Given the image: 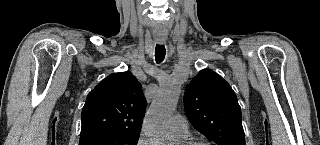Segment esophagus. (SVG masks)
<instances>
[{
    "label": "esophagus",
    "instance_id": "1",
    "mask_svg": "<svg viewBox=\"0 0 320 145\" xmlns=\"http://www.w3.org/2000/svg\"><path fill=\"white\" fill-rule=\"evenodd\" d=\"M157 40H158L159 43H164L165 42V38H162V37L158 38Z\"/></svg>",
    "mask_w": 320,
    "mask_h": 145
}]
</instances>
